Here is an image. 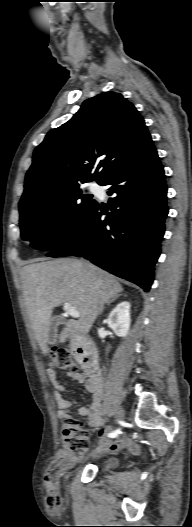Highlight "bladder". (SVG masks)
Here are the masks:
<instances>
[{"mask_svg": "<svg viewBox=\"0 0 192 527\" xmlns=\"http://www.w3.org/2000/svg\"><path fill=\"white\" fill-rule=\"evenodd\" d=\"M116 465H117V459L115 457H107L103 459L100 463V466L102 468H107V469L113 468Z\"/></svg>", "mask_w": 192, "mask_h": 527, "instance_id": "bladder-1", "label": "bladder"}]
</instances>
